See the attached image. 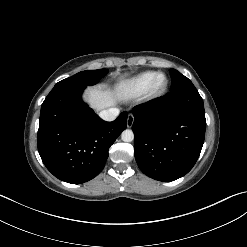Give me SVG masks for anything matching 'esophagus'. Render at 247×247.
Masks as SVG:
<instances>
[{"mask_svg":"<svg viewBox=\"0 0 247 247\" xmlns=\"http://www.w3.org/2000/svg\"><path fill=\"white\" fill-rule=\"evenodd\" d=\"M133 123H134V116L132 114H129L127 118V127L128 128L132 127Z\"/></svg>","mask_w":247,"mask_h":247,"instance_id":"1","label":"esophagus"}]
</instances>
